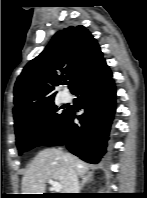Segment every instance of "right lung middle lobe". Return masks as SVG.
<instances>
[{
    "label": "right lung middle lobe",
    "mask_w": 147,
    "mask_h": 198,
    "mask_svg": "<svg viewBox=\"0 0 147 198\" xmlns=\"http://www.w3.org/2000/svg\"><path fill=\"white\" fill-rule=\"evenodd\" d=\"M54 103L39 108L15 122L18 153L42 146L54 137L64 125L70 109L60 112ZM45 128L42 129V126Z\"/></svg>",
    "instance_id": "1"
}]
</instances>
